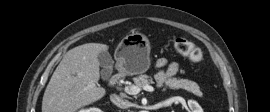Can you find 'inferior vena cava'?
I'll return each instance as SVG.
<instances>
[{
    "label": "inferior vena cava",
    "instance_id": "602c4592",
    "mask_svg": "<svg viewBox=\"0 0 270 112\" xmlns=\"http://www.w3.org/2000/svg\"><path fill=\"white\" fill-rule=\"evenodd\" d=\"M111 101L120 108H126L129 106V101L119 97L116 94L111 95Z\"/></svg>",
    "mask_w": 270,
    "mask_h": 112
}]
</instances>
